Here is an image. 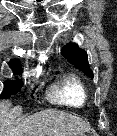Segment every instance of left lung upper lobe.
<instances>
[{
  "label": "left lung upper lobe",
  "mask_w": 117,
  "mask_h": 136,
  "mask_svg": "<svg viewBox=\"0 0 117 136\" xmlns=\"http://www.w3.org/2000/svg\"><path fill=\"white\" fill-rule=\"evenodd\" d=\"M63 56L88 77L93 78V72L88 65L87 53L77 44H69L62 49Z\"/></svg>",
  "instance_id": "5c2ea615"
}]
</instances>
